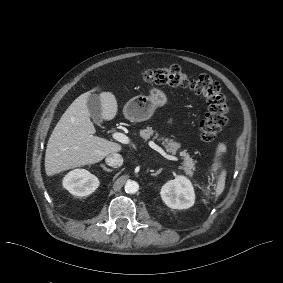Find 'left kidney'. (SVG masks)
Wrapping results in <instances>:
<instances>
[{
    "label": "left kidney",
    "instance_id": "1",
    "mask_svg": "<svg viewBox=\"0 0 283 283\" xmlns=\"http://www.w3.org/2000/svg\"><path fill=\"white\" fill-rule=\"evenodd\" d=\"M160 195L164 203L172 209H188L195 202L191 181L181 175L165 183L161 188Z\"/></svg>",
    "mask_w": 283,
    "mask_h": 283
}]
</instances>
